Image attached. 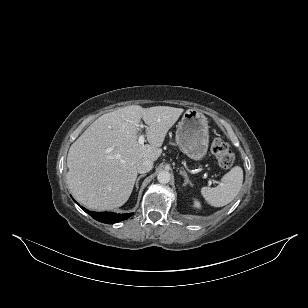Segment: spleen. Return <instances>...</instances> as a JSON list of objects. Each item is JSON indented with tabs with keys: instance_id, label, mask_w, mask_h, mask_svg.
Here are the masks:
<instances>
[{
	"instance_id": "obj_1",
	"label": "spleen",
	"mask_w": 308,
	"mask_h": 308,
	"mask_svg": "<svg viewBox=\"0 0 308 308\" xmlns=\"http://www.w3.org/2000/svg\"><path fill=\"white\" fill-rule=\"evenodd\" d=\"M243 183V170L239 166L233 167L226 173L221 183L213 188L202 187L201 194L204 199L214 207L229 204L238 195Z\"/></svg>"
}]
</instances>
